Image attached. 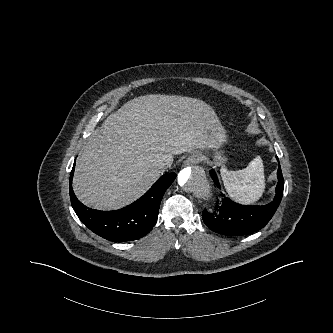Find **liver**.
<instances>
[{
  "mask_svg": "<svg viewBox=\"0 0 333 333\" xmlns=\"http://www.w3.org/2000/svg\"><path fill=\"white\" fill-rule=\"evenodd\" d=\"M219 119L205 102L175 95L134 98L110 114L75 164L73 190L85 205L115 210L137 200L160 177L157 163L210 149Z\"/></svg>",
  "mask_w": 333,
  "mask_h": 333,
  "instance_id": "6515ba94",
  "label": "liver"
}]
</instances>
